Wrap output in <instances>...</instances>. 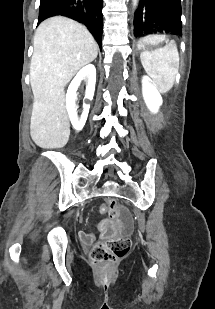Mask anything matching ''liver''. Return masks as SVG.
<instances>
[{
	"mask_svg": "<svg viewBox=\"0 0 215 309\" xmlns=\"http://www.w3.org/2000/svg\"><path fill=\"white\" fill-rule=\"evenodd\" d=\"M33 46L31 138L41 148H62L70 136L64 86L79 68L96 58L98 44L84 24L51 16L39 24Z\"/></svg>",
	"mask_w": 215,
	"mask_h": 309,
	"instance_id": "liver-1",
	"label": "liver"
}]
</instances>
